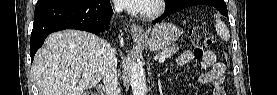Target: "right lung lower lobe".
Here are the masks:
<instances>
[{
  "instance_id": "obj_1",
  "label": "right lung lower lobe",
  "mask_w": 277,
  "mask_h": 95,
  "mask_svg": "<svg viewBox=\"0 0 277 95\" xmlns=\"http://www.w3.org/2000/svg\"><path fill=\"white\" fill-rule=\"evenodd\" d=\"M112 14L109 0H51L37 3L31 33V61L50 33L64 29L104 32L109 28Z\"/></svg>"
}]
</instances>
